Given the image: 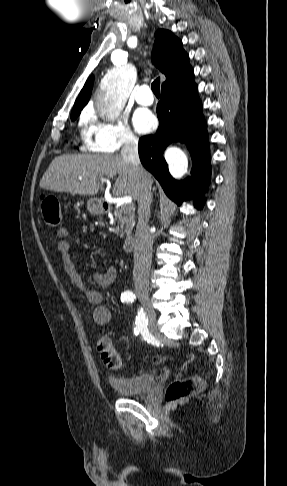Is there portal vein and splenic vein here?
<instances>
[{
    "mask_svg": "<svg viewBox=\"0 0 287 486\" xmlns=\"http://www.w3.org/2000/svg\"><path fill=\"white\" fill-rule=\"evenodd\" d=\"M100 181L101 182H106L107 180L106 179H101ZM131 202H132V198L131 197H126V198H123L122 199L123 206H128V205H130Z\"/></svg>",
    "mask_w": 287,
    "mask_h": 486,
    "instance_id": "portal-vein-and-splenic-vein-1",
    "label": "portal vein and splenic vein"
}]
</instances>
